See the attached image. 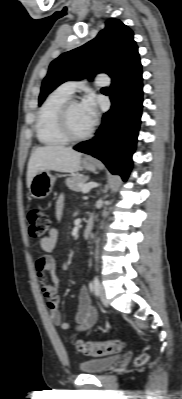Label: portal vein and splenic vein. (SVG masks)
Instances as JSON below:
<instances>
[{
    "label": "portal vein and splenic vein",
    "instance_id": "1",
    "mask_svg": "<svg viewBox=\"0 0 182 399\" xmlns=\"http://www.w3.org/2000/svg\"><path fill=\"white\" fill-rule=\"evenodd\" d=\"M97 183L95 182H89L87 184L82 185V192L83 193H88L92 188L97 187Z\"/></svg>",
    "mask_w": 182,
    "mask_h": 399
}]
</instances>
